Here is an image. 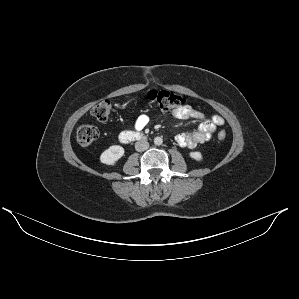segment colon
Instances as JSON below:
<instances>
[{"label":"colon","mask_w":299,"mask_h":299,"mask_svg":"<svg viewBox=\"0 0 299 299\" xmlns=\"http://www.w3.org/2000/svg\"><path fill=\"white\" fill-rule=\"evenodd\" d=\"M147 101L162 111H169L183 105L184 98L174 92L152 89L146 94ZM92 115L99 121H105L111 114V103L108 100L98 102L91 110ZM99 137V130L93 125H82L76 131V140L82 146L94 143ZM226 132L220 131L218 139L224 140Z\"/></svg>","instance_id":"1"}]
</instances>
